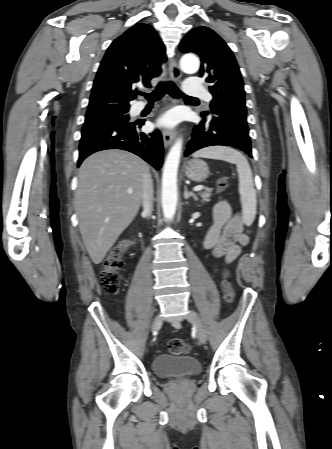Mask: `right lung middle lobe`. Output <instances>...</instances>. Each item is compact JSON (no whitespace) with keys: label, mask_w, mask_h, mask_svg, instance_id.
<instances>
[{"label":"right lung middle lobe","mask_w":332,"mask_h":449,"mask_svg":"<svg viewBox=\"0 0 332 449\" xmlns=\"http://www.w3.org/2000/svg\"><path fill=\"white\" fill-rule=\"evenodd\" d=\"M129 108H115L103 111L87 113L84 125L108 121V120H129Z\"/></svg>","instance_id":"obj_1"}]
</instances>
